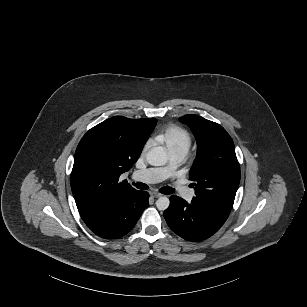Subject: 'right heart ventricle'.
Wrapping results in <instances>:
<instances>
[{"mask_svg":"<svg viewBox=\"0 0 307 307\" xmlns=\"http://www.w3.org/2000/svg\"><path fill=\"white\" fill-rule=\"evenodd\" d=\"M157 139L164 142L170 152L187 151L191 146L189 134L178 128L158 130Z\"/></svg>","mask_w":307,"mask_h":307,"instance_id":"1","label":"right heart ventricle"}]
</instances>
